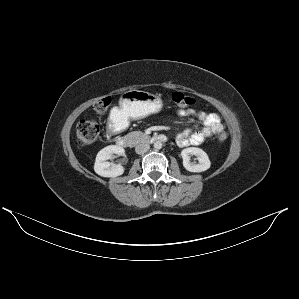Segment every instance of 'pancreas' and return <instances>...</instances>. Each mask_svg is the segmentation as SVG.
Instances as JSON below:
<instances>
[{"label":"pancreas","instance_id":"obj_1","mask_svg":"<svg viewBox=\"0 0 299 299\" xmlns=\"http://www.w3.org/2000/svg\"><path fill=\"white\" fill-rule=\"evenodd\" d=\"M128 137L133 138L135 142H141L148 139V136L141 131H134L128 134Z\"/></svg>","mask_w":299,"mask_h":299}]
</instances>
